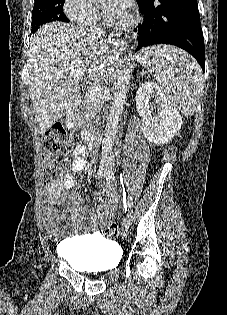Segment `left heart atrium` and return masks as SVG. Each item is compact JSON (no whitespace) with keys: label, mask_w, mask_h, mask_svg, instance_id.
<instances>
[{"label":"left heart atrium","mask_w":227,"mask_h":315,"mask_svg":"<svg viewBox=\"0 0 227 315\" xmlns=\"http://www.w3.org/2000/svg\"><path fill=\"white\" fill-rule=\"evenodd\" d=\"M103 12L109 21L118 25H126L131 18V0H105Z\"/></svg>","instance_id":"1"}]
</instances>
